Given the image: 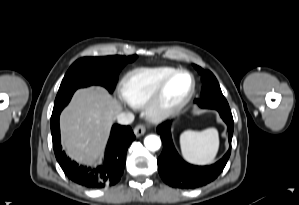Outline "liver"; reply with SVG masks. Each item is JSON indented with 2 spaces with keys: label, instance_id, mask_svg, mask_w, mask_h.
Listing matches in <instances>:
<instances>
[{
  "label": "liver",
  "instance_id": "6515ba94",
  "mask_svg": "<svg viewBox=\"0 0 299 205\" xmlns=\"http://www.w3.org/2000/svg\"><path fill=\"white\" fill-rule=\"evenodd\" d=\"M121 105L99 86L76 91L60 117L63 148L82 164H93L102 155L113 119Z\"/></svg>",
  "mask_w": 299,
  "mask_h": 205
}]
</instances>
